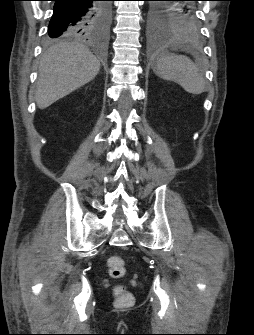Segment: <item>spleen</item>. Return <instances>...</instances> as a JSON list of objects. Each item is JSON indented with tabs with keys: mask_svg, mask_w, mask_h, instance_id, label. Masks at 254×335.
<instances>
[{
	"mask_svg": "<svg viewBox=\"0 0 254 335\" xmlns=\"http://www.w3.org/2000/svg\"><path fill=\"white\" fill-rule=\"evenodd\" d=\"M175 49L170 42L157 54L154 72L162 79L178 83L186 92L199 95L205 91V79L191 59L184 55L170 53Z\"/></svg>",
	"mask_w": 254,
	"mask_h": 335,
	"instance_id": "3e777b00",
	"label": "spleen"
}]
</instances>
